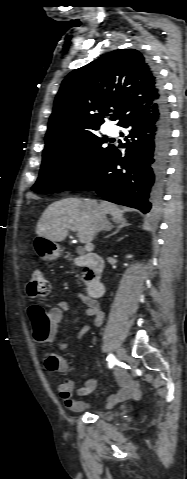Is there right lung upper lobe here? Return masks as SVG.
Instances as JSON below:
<instances>
[{
    "mask_svg": "<svg viewBox=\"0 0 187 479\" xmlns=\"http://www.w3.org/2000/svg\"><path fill=\"white\" fill-rule=\"evenodd\" d=\"M162 93L158 75L138 50L107 53L72 71L62 82L45 149L98 131L109 113L120 125L131 112L152 106Z\"/></svg>",
    "mask_w": 187,
    "mask_h": 479,
    "instance_id": "1",
    "label": "right lung upper lobe"
}]
</instances>
